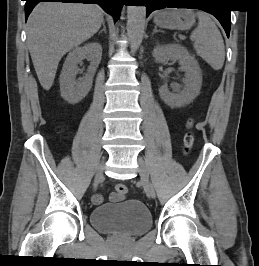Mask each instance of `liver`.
Instances as JSON below:
<instances>
[{
  "mask_svg": "<svg viewBox=\"0 0 259 266\" xmlns=\"http://www.w3.org/2000/svg\"><path fill=\"white\" fill-rule=\"evenodd\" d=\"M104 11L83 3H39L27 21V44L38 80L45 90L54 82L61 58L100 29Z\"/></svg>",
  "mask_w": 259,
  "mask_h": 266,
  "instance_id": "obj_1",
  "label": "liver"
}]
</instances>
